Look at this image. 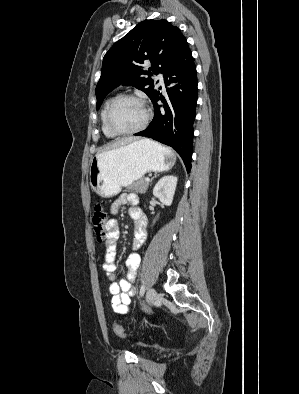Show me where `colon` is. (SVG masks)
<instances>
[{"instance_id":"5ec220e1","label":"colon","mask_w":299,"mask_h":394,"mask_svg":"<svg viewBox=\"0 0 299 394\" xmlns=\"http://www.w3.org/2000/svg\"><path fill=\"white\" fill-rule=\"evenodd\" d=\"M107 211L104 205L97 203L92 215L93 232L98 241H104L107 237ZM114 331L119 337H125L123 328L119 324L114 325Z\"/></svg>"}]
</instances>
